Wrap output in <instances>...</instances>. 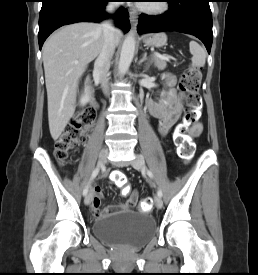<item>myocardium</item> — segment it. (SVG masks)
I'll return each instance as SVG.
<instances>
[{
    "label": "myocardium",
    "mask_w": 258,
    "mask_h": 275,
    "mask_svg": "<svg viewBox=\"0 0 258 275\" xmlns=\"http://www.w3.org/2000/svg\"><path fill=\"white\" fill-rule=\"evenodd\" d=\"M156 5H142L139 9L147 14L160 15L165 13L169 9V3L167 0L157 1Z\"/></svg>",
    "instance_id": "myocardium-1"
}]
</instances>
